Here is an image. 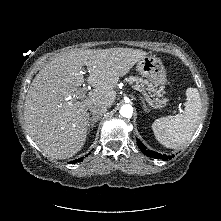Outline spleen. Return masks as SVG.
<instances>
[{
    "label": "spleen",
    "mask_w": 221,
    "mask_h": 221,
    "mask_svg": "<svg viewBox=\"0 0 221 221\" xmlns=\"http://www.w3.org/2000/svg\"><path fill=\"white\" fill-rule=\"evenodd\" d=\"M201 110L202 103L198 90L187 88L183 114L161 117L152 124L156 139L167 148L177 149L183 146L197 129Z\"/></svg>",
    "instance_id": "1"
}]
</instances>
